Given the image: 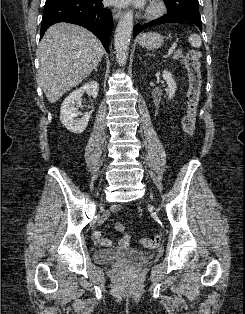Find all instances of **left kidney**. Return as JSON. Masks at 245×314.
I'll return each instance as SVG.
<instances>
[{"label": "left kidney", "instance_id": "left-kidney-1", "mask_svg": "<svg viewBox=\"0 0 245 314\" xmlns=\"http://www.w3.org/2000/svg\"><path fill=\"white\" fill-rule=\"evenodd\" d=\"M163 79L167 82L169 88V98H173L175 91L177 89L176 82L169 71H163Z\"/></svg>", "mask_w": 245, "mask_h": 314}]
</instances>
